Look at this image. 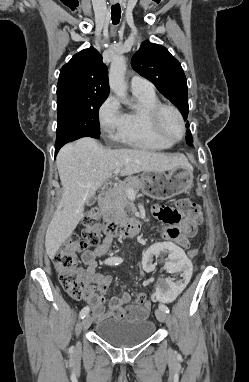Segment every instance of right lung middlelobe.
<instances>
[{"mask_svg": "<svg viewBox=\"0 0 249 382\" xmlns=\"http://www.w3.org/2000/svg\"><path fill=\"white\" fill-rule=\"evenodd\" d=\"M106 98L57 107L56 145L81 137H100L98 110Z\"/></svg>", "mask_w": 249, "mask_h": 382, "instance_id": "right-lung-middle-lobe-1", "label": "right lung middle lobe"}]
</instances>
